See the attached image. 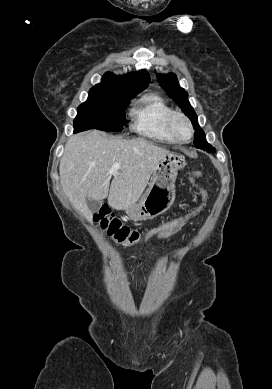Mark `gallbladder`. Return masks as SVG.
I'll list each match as a JSON object with an SVG mask.
<instances>
[{"mask_svg": "<svg viewBox=\"0 0 272 389\" xmlns=\"http://www.w3.org/2000/svg\"><path fill=\"white\" fill-rule=\"evenodd\" d=\"M86 203H87V206H88L89 210L92 213L98 212L100 207H101V205H102V201H100V200H93V199H90V198L86 199Z\"/></svg>", "mask_w": 272, "mask_h": 389, "instance_id": "1", "label": "gallbladder"}]
</instances>
